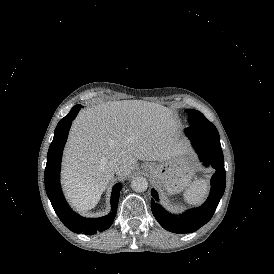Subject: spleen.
<instances>
[{"label": "spleen", "instance_id": "3e777b00", "mask_svg": "<svg viewBox=\"0 0 274 274\" xmlns=\"http://www.w3.org/2000/svg\"><path fill=\"white\" fill-rule=\"evenodd\" d=\"M209 191L208 180L197 179L193 181L184 192V200L191 205L200 204L204 201Z\"/></svg>", "mask_w": 274, "mask_h": 274}]
</instances>
